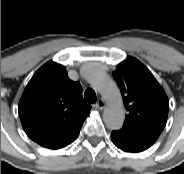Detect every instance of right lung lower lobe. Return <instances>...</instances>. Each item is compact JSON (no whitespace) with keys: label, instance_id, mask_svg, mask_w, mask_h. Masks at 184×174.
I'll return each instance as SVG.
<instances>
[{"label":"right lung lower lobe","instance_id":"1","mask_svg":"<svg viewBox=\"0 0 184 174\" xmlns=\"http://www.w3.org/2000/svg\"><path fill=\"white\" fill-rule=\"evenodd\" d=\"M80 128H78L77 130H75L70 136H68L66 139H64L63 141H61L60 143L54 145L53 147H51L50 149H58V148H62L67 146L68 144L72 143L77 136L79 135L80 132Z\"/></svg>","mask_w":184,"mask_h":174}]
</instances>
